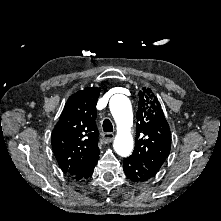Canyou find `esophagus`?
Returning <instances> with one entry per match:
<instances>
[{
    "instance_id": "34e87169",
    "label": "esophagus",
    "mask_w": 221,
    "mask_h": 221,
    "mask_svg": "<svg viewBox=\"0 0 221 221\" xmlns=\"http://www.w3.org/2000/svg\"><path fill=\"white\" fill-rule=\"evenodd\" d=\"M103 139L106 141V142H111L113 139H114V134L111 133V132H105L103 134Z\"/></svg>"
}]
</instances>
